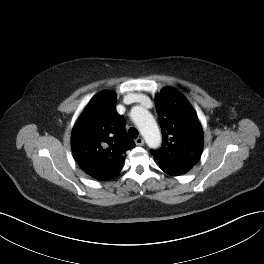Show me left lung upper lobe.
<instances>
[{"label":"left lung upper lobe","mask_w":264,"mask_h":264,"mask_svg":"<svg viewBox=\"0 0 264 264\" xmlns=\"http://www.w3.org/2000/svg\"><path fill=\"white\" fill-rule=\"evenodd\" d=\"M155 103L163 143L152 154L165 173L184 174L197 164L203 150V131L197 114L187 99L171 88L163 89Z\"/></svg>","instance_id":"5c2ea615"}]
</instances>
